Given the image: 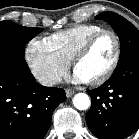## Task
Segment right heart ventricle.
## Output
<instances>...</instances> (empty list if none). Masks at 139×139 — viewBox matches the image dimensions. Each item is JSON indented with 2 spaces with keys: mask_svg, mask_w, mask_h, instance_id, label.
<instances>
[{
  "mask_svg": "<svg viewBox=\"0 0 139 139\" xmlns=\"http://www.w3.org/2000/svg\"><path fill=\"white\" fill-rule=\"evenodd\" d=\"M102 29L96 24H79L51 34L45 39L58 54L70 62L78 48Z\"/></svg>",
  "mask_w": 139,
  "mask_h": 139,
  "instance_id": "right-heart-ventricle-1",
  "label": "right heart ventricle"
}]
</instances>
